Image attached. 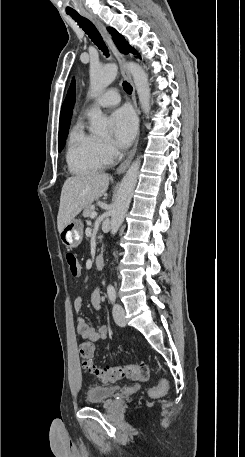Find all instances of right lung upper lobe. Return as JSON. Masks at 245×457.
Masks as SVG:
<instances>
[{"mask_svg": "<svg viewBox=\"0 0 245 457\" xmlns=\"http://www.w3.org/2000/svg\"><path fill=\"white\" fill-rule=\"evenodd\" d=\"M75 103V80H72L71 86L68 90L65 101L62 105L60 113L59 128H63L70 125V120L73 112Z\"/></svg>", "mask_w": 245, "mask_h": 457, "instance_id": "obj_1", "label": "right lung upper lobe"}]
</instances>
